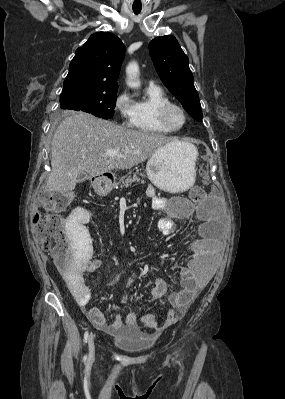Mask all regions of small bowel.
<instances>
[{
    "instance_id": "small-bowel-1",
    "label": "small bowel",
    "mask_w": 285,
    "mask_h": 399,
    "mask_svg": "<svg viewBox=\"0 0 285 399\" xmlns=\"http://www.w3.org/2000/svg\"><path fill=\"white\" fill-rule=\"evenodd\" d=\"M146 195L151 200L154 208L164 210L167 213V216L159 219L156 224L157 229L163 235H171L176 231L175 218H189L193 214H197L205 222H210L207 217L208 211L206 210L182 212L184 209L182 198H175L168 203L165 199L156 197L155 191L151 188L146 190ZM80 220L86 223L87 215L83 212H76L71 214L66 220L67 236L75 253V267L81 272L79 278L74 275L65 277L66 283L77 301L86 306V314L96 328L110 335L123 334L124 329L135 332L138 328L137 313L129 312L124 316H116L109 322L102 311L90 303V290L85 284L82 274L93 272L101 266L102 262L97 258L83 259L80 256L78 246L83 239ZM189 250L191 259L185 267L180 268L181 288L168 295L169 302L177 310L179 317L186 313L195 297L204 289L217 262L216 247L208 237L207 229L202 230L201 236L192 242ZM167 293V280L164 277H157L151 290V298L153 300L161 299ZM179 317L174 320L167 317L164 325L155 326L149 328V330L153 334H158L174 324Z\"/></svg>"
}]
</instances>
